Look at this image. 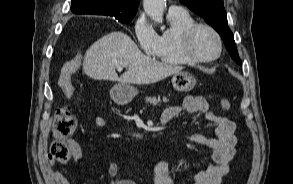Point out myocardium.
<instances>
[{"mask_svg":"<svg viewBox=\"0 0 293 184\" xmlns=\"http://www.w3.org/2000/svg\"><path fill=\"white\" fill-rule=\"evenodd\" d=\"M202 28L210 31L217 40V44H218L217 53L211 57H206V58L198 57L191 50L192 38H193L194 34L199 29H202ZM179 49H180V52L183 55V57L191 63H197V64L209 63V62H213V61L217 60L221 56L222 50H223V41H222L220 34L211 25L206 24V23H194V24L190 25L189 27H187L182 32L180 39H179Z\"/></svg>","mask_w":293,"mask_h":184,"instance_id":"1","label":"myocardium"}]
</instances>
